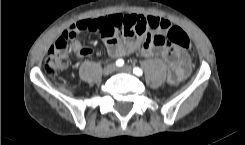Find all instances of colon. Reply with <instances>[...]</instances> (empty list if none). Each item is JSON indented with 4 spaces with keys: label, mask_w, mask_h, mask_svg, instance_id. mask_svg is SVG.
<instances>
[{
    "label": "colon",
    "mask_w": 245,
    "mask_h": 145,
    "mask_svg": "<svg viewBox=\"0 0 245 145\" xmlns=\"http://www.w3.org/2000/svg\"><path fill=\"white\" fill-rule=\"evenodd\" d=\"M81 30H84V28ZM76 34L75 29L68 28L63 32L62 37L54 43L44 63V72L48 76L59 74L66 67L69 55L83 54V49L74 50L69 46V42L76 37ZM155 43L158 46L169 43L186 50H193V43L190 38L177 26L169 28L164 34L156 35Z\"/></svg>",
    "instance_id": "colon-1"
}]
</instances>
